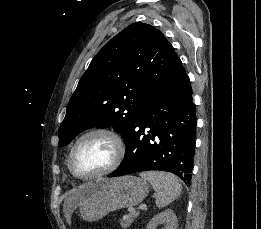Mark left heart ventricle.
I'll return each instance as SVG.
<instances>
[{"mask_svg":"<svg viewBox=\"0 0 261 229\" xmlns=\"http://www.w3.org/2000/svg\"><path fill=\"white\" fill-rule=\"evenodd\" d=\"M115 150L104 136H92L75 150L73 165L81 173L92 174L106 169L113 161Z\"/></svg>","mask_w":261,"mask_h":229,"instance_id":"1","label":"left heart ventricle"}]
</instances>
